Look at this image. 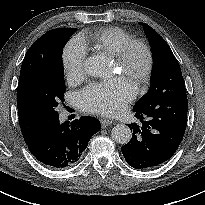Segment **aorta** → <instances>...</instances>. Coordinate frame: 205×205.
I'll return each instance as SVG.
<instances>
[{
	"label": "aorta",
	"mask_w": 205,
	"mask_h": 205,
	"mask_svg": "<svg viewBox=\"0 0 205 205\" xmlns=\"http://www.w3.org/2000/svg\"><path fill=\"white\" fill-rule=\"evenodd\" d=\"M85 71L93 77H107L110 75V68L107 59L102 55H91L85 61ZM112 139L119 144H126L130 141L132 133L130 128L124 124L116 125L111 132Z\"/></svg>",
	"instance_id": "1"
}]
</instances>
